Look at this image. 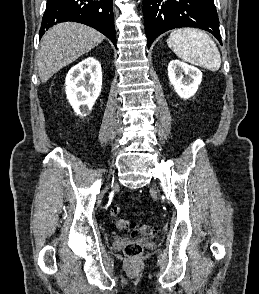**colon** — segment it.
<instances>
[{
  "mask_svg": "<svg viewBox=\"0 0 259 294\" xmlns=\"http://www.w3.org/2000/svg\"><path fill=\"white\" fill-rule=\"evenodd\" d=\"M110 215L113 218H117L121 213V208L119 206H112L109 210ZM115 224L120 229L135 230L141 235H152L156 232V228L153 225L143 224L138 227L134 223L124 220L116 219ZM143 248L139 242L132 241L126 244L124 247V254L130 259H137L141 256Z\"/></svg>",
  "mask_w": 259,
  "mask_h": 294,
  "instance_id": "5ec220e1",
  "label": "colon"
}]
</instances>
